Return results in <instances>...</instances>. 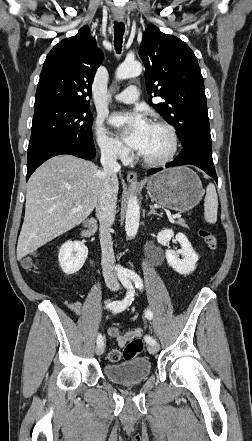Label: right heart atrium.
Instances as JSON below:
<instances>
[{
    "mask_svg": "<svg viewBox=\"0 0 252 441\" xmlns=\"http://www.w3.org/2000/svg\"><path fill=\"white\" fill-rule=\"evenodd\" d=\"M95 141L105 156L123 161L128 159L129 150L111 134L101 118L95 122Z\"/></svg>",
    "mask_w": 252,
    "mask_h": 441,
    "instance_id": "right-heart-atrium-1",
    "label": "right heart atrium"
}]
</instances>
